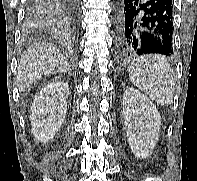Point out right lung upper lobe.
<instances>
[{"mask_svg":"<svg viewBox=\"0 0 197 181\" xmlns=\"http://www.w3.org/2000/svg\"><path fill=\"white\" fill-rule=\"evenodd\" d=\"M36 27H39V26H36ZM43 28H45V27H43ZM46 29H49V28H46Z\"/></svg>","mask_w":197,"mask_h":181,"instance_id":"1","label":"right lung upper lobe"}]
</instances>
